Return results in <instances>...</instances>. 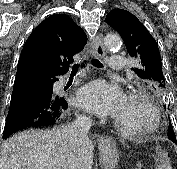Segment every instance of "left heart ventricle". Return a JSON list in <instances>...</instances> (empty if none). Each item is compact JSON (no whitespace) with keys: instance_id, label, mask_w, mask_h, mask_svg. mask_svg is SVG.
<instances>
[{"instance_id":"b2bd125f","label":"left heart ventricle","mask_w":177,"mask_h":169,"mask_svg":"<svg viewBox=\"0 0 177 169\" xmlns=\"http://www.w3.org/2000/svg\"><path fill=\"white\" fill-rule=\"evenodd\" d=\"M114 118L129 128H140L150 124L151 116L142 102L125 98Z\"/></svg>"}]
</instances>
